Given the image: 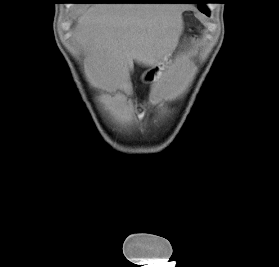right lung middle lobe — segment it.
<instances>
[{"instance_id": "right-lung-middle-lobe-1", "label": "right lung middle lobe", "mask_w": 279, "mask_h": 267, "mask_svg": "<svg viewBox=\"0 0 279 267\" xmlns=\"http://www.w3.org/2000/svg\"><path fill=\"white\" fill-rule=\"evenodd\" d=\"M117 1H122V2H132V1H141V0H117Z\"/></svg>"}]
</instances>
